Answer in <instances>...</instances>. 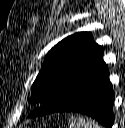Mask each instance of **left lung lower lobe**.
Instances as JSON below:
<instances>
[{
	"instance_id": "0a47b994",
	"label": "left lung lower lobe",
	"mask_w": 125,
	"mask_h": 128,
	"mask_svg": "<svg viewBox=\"0 0 125 128\" xmlns=\"http://www.w3.org/2000/svg\"><path fill=\"white\" fill-rule=\"evenodd\" d=\"M114 99L109 71L101 58L91 70L85 73L68 103L55 112L85 114L97 120L105 128H112Z\"/></svg>"
}]
</instances>
